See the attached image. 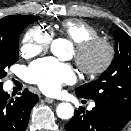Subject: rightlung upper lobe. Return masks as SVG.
Here are the masks:
<instances>
[{"label": "right lung upper lobe", "instance_id": "right-lung-upper-lobe-1", "mask_svg": "<svg viewBox=\"0 0 131 131\" xmlns=\"http://www.w3.org/2000/svg\"><path fill=\"white\" fill-rule=\"evenodd\" d=\"M15 16L17 15L7 16L0 19V33H4L7 30L10 20Z\"/></svg>", "mask_w": 131, "mask_h": 131}]
</instances>
